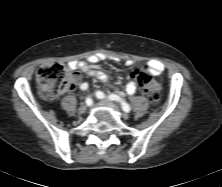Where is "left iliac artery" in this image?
Segmentation results:
<instances>
[{
	"mask_svg": "<svg viewBox=\"0 0 222 187\" xmlns=\"http://www.w3.org/2000/svg\"><path fill=\"white\" fill-rule=\"evenodd\" d=\"M96 96L100 99H104V98H108L109 100H115L121 103L122 109L125 112H130L131 108L129 106V104H127L125 101H123L119 96L115 95V94H111L109 96H106L103 92L98 91L96 93Z\"/></svg>",
	"mask_w": 222,
	"mask_h": 187,
	"instance_id": "1",
	"label": "left iliac artery"
}]
</instances>
